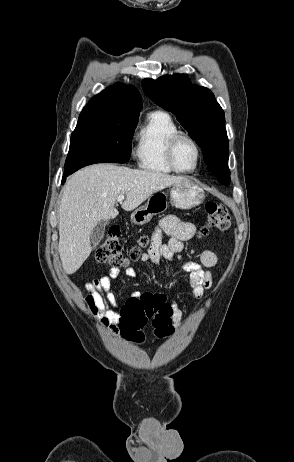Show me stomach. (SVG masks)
Listing matches in <instances>:
<instances>
[{
	"instance_id": "stomach-1",
	"label": "stomach",
	"mask_w": 294,
	"mask_h": 462,
	"mask_svg": "<svg viewBox=\"0 0 294 462\" xmlns=\"http://www.w3.org/2000/svg\"><path fill=\"white\" fill-rule=\"evenodd\" d=\"M205 198L204 190L189 179L172 186L170 200L179 209H190L198 206ZM168 208L167 195L158 191L152 194L145 205L136 209L131 215V221L136 225L148 223L154 215L163 213Z\"/></svg>"
}]
</instances>
